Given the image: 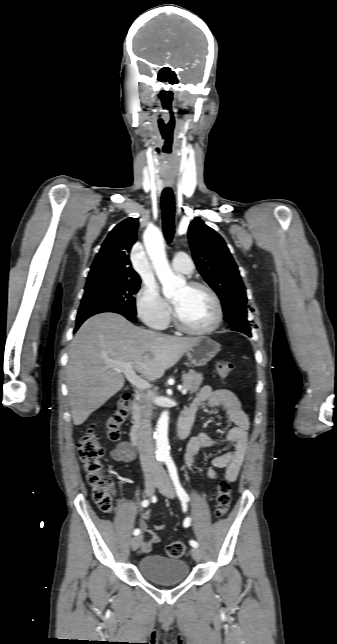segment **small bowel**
Segmentation results:
<instances>
[{
    "label": "small bowel",
    "mask_w": 337,
    "mask_h": 644,
    "mask_svg": "<svg viewBox=\"0 0 337 644\" xmlns=\"http://www.w3.org/2000/svg\"><path fill=\"white\" fill-rule=\"evenodd\" d=\"M206 405L208 408L223 407L230 421L234 424L223 437L214 438L206 433H199L193 436L186 448L185 462L188 467H191L196 454L202 448L212 447L220 442L234 443V449L222 454H218L211 459L212 468L209 470L208 476L210 479H217L218 475L215 468H226L225 480L233 482L236 480L241 469L248 446V430L249 418L243 411L238 397L228 389L213 388L209 385L203 386L197 393L196 397L188 408L184 410V414L189 415L192 420L197 411ZM136 457V449L131 442L123 441L111 451V458L117 462H130ZM150 519L146 511H141L139 514L138 525L147 537L142 536L140 549L144 553L152 550L153 546L160 542V537L157 532L166 529L164 524H155L152 529L146 526V520Z\"/></svg>",
    "instance_id": "small-bowel-1"
}]
</instances>
